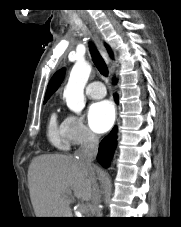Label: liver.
Listing matches in <instances>:
<instances>
[{
  "label": "liver",
  "instance_id": "6515ba94",
  "mask_svg": "<svg viewBox=\"0 0 181 227\" xmlns=\"http://www.w3.org/2000/svg\"><path fill=\"white\" fill-rule=\"evenodd\" d=\"M95 168L72 155L43 154L28 170L30 198L37 217H71L72 192L83 201L94 195Z\"/></svg>",
  "mask_w": 181,
  "mask_h": 227
}]
</instances>
